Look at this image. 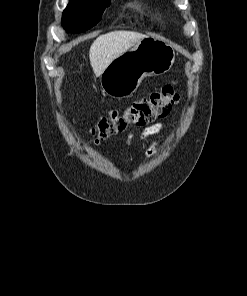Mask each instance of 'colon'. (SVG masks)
<instances>
[{"instance_id": "colon-1", "label": "colon", "mask_w": 247, "mask_h": 296, "mask_svg": "<svg viewBox=\"0 0 247 296\" xmlns=\"http://www.w3.org/2000/svg\"><path fill=\"white\" fill-rule=\"evenodd\" d=\"M175 82L164 85L159 91L132 102L122 111H112L101 118L91 129L95 142L106 140L123 131L128 125L142 126L156 119L164 118L178 101Z\"/></svg>"}]
</instances>
